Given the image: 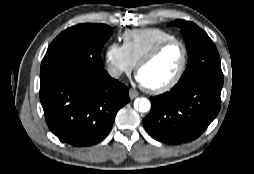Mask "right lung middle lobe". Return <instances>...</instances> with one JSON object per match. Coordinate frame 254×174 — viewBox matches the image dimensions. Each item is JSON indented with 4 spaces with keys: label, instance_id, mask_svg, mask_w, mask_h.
<instances>
[{
    "label": "right lung middle lobe",
    "instance_id": "1",
    "mask_svg": "<svg viewBox=\"0 0 254 174\" xmlns=\"http://www.w3.org/2000/svg\"><path fill=\"white\" fill-rule=\"evenodd\" d=\"M113 28L104 24H79L60 33L50 44L40 68L41 86L103 72L101 50Z\"/></svg>",
    "mask_w": 254,
    "mask_h": 174
}]
</instances>
